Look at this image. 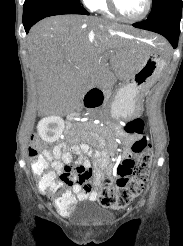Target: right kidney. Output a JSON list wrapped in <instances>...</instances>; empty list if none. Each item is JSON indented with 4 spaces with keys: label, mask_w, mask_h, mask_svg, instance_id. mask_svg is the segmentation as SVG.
<instances>
[{
    "label": "right kidney",
    "mask_w": 183,
    "mask_h": 246,
    "mask_svg": "<svg viewBox=\"0 0 183 246\" xmlns=\"http://www.w3.org/2000/svg\"><path fill=\"white\" fill-rule=\"evenodd\" d=\"M39 136L45 142H55L64 130V121L58 116L43 118L37 126Z\"/></svg>",
    "instance_id": "right-kidney-1"
}]
</instances>
